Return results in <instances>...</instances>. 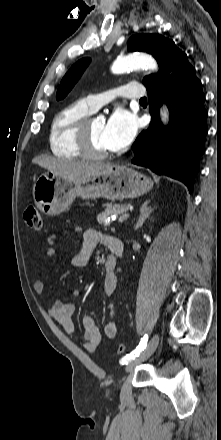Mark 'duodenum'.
I'll return each instance as SVG.
<instances>
[{
	"label": "duodenum",
	"mask_w": 221,
	"mask_h": 440,
	"mask_svg": "<svg viewBox=\"0 0 221 440\" xmlns=\"http://www.w3.org/2000/svg\"><path fill=\"white\" fill-rule=\"evenodd\" d=\"M109 249L112 252L113 256V260L111 261H106L105 263V268L107 270V272H114L115 267H116V259L115 257L117 256H121L123 253V242L122 240L118 239V238H113L109 244Z\"/></svg>",
	"instance_id": "410a0bca"
}]
</instances>
